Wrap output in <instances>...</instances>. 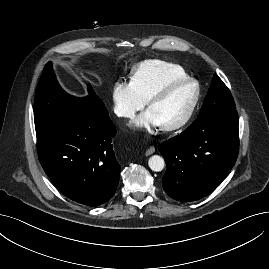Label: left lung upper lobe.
<instances>
[{
  "label": "left lung upper lobe",
  "mask_w": 269,
  "mask_h": 269,
  "mask_svg": "<svg viewBox=\"0 0 269 269\" xmlns=\"http://www.w3.org/2000/svg\"><path fill=\"white\" fill-rule=\"evenodd\" d=\"M234 110H236V106L229 89L219 76L214 74L211 87L198 117L218 115Z\"/></svg>",
  "instance_id": "obj_1"
}]
</instances>
